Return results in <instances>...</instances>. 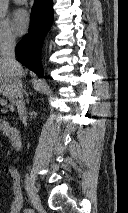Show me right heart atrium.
I'll list each match as a JSON object with an SVG mask.
<instances>
[{
	"label": "right heart atrium",
	"mask_w": 128,
	"mask_h": 213,
	"mask_svg": "<svg viewBox=\"0 0 128 213\" xmlns=\"http://www.w3.org/2000/svg\"><path fill=\"white\" fill-rule=\"evenodd\" d=\"M16 35L6 20H0V50L13 46Z\"/></svg>",
	"instance_id": "d8ad5b80"
}]
</instances>
